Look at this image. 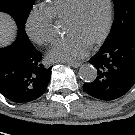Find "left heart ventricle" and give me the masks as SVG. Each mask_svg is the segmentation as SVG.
I'll return each mask as SVG.
<instances>
[{
  "label": "left heart ventricle",
  "instance_id": "left-heart-ventricle-1",
  "mask_svg": "<svg viewBox=\"0 0 135 135\" xmlns=\"http://www.w3.org/2000/svg\"><path fill=\"white\" fill-rule=\"evenodd\" d=\"M106 19V0H84L77 17L64 22L65 34L76 35L90 45L103 32Z\"/></svg>",
  "mask_w": 135,
  "mask_h": 135
}]
</instances>
